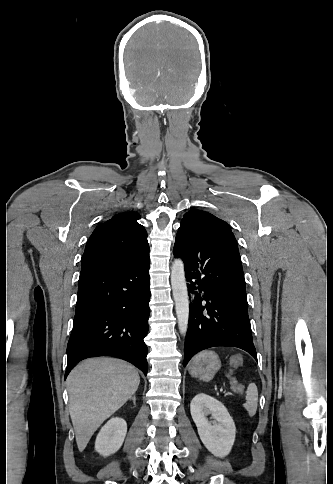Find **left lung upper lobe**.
<instances>
[{"label":"left lung upper lobe","mask_w":333,"mask_h":484,"mask_svg":"<svg viewBox=\"0 0 333 484\" xmlns=\"http://www.w3.org/2000/svg\"><path fill=\"white\" fill-rule=\"evenodd\" d=\"M189 221H193L197 224H200L202 227L219 224L221 226L230 228V226L225 221L219 219L218 217L208 212L197 210V209H192L187 213H185L181 222H189Z\"/></svg>","instance_id":"1"}]
</instances>
